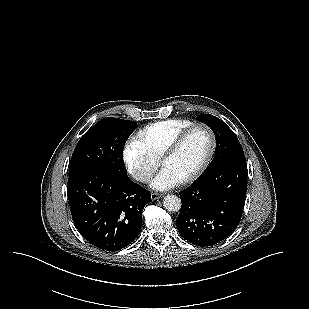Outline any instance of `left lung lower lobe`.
Here are the masks:
<instances>
[{"mask_svg": "<svg viewBox=\"0 0 309 309\" xmlns=\"http://www.w3.org/2000/svg\"><path fill=\"white\" fill-rule=\"evenodd\" d=\"M246 191L244 154L208 166L190 187L180 192L182 206L176 220L180 235L202 247L223 241L241 220Z\"/></svg>", "mask_w": 309, "mask_h": 309, "instance_id": "obj_1", "label": "left lung lower lobe"}]
</instances>
